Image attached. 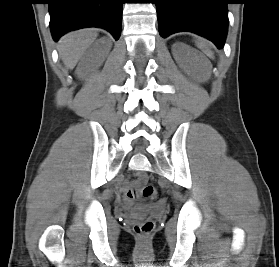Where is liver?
I'll list each match as a JSON object with an SVG mask.
<instances>
[{
    "instance_id": "obj_1",
    "label": "liver",
    "mask_w": 279,
    "mask_h": 267,
    "mask_svg": "<svg viewBox=\"0 0 279 267\" xmlns=\"http://www.w3.org/2000/svg\"><path fill=\"white\" fill-rule=\"evenodd\" d=\"M98 36L96 29H81L64 35L58 45L59 56L68 69H73Z\"/></svg>"
}]
</instances>
